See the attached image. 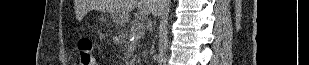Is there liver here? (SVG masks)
<instances>
[{
	"mask_svg": "<svg viewBox=\"0 0 309 65\" xmlns=\"http://www.w3.org/2000/svg\"><path fill=\"white\" fill-rule=\"evenodd\" d=\"M165 4L163 0H97L92 6L97 10L112 13H128L138 7V11L143 15L152 13L154 16H160Z\"/></svg>",
	"mask_w": 309,
	"mask_h": 65,
	"instance_id": "obj_1",
	"label": "liver"
}]
</instances>
